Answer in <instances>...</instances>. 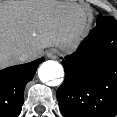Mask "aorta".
<instances>
[{
  "mask_svg": "<svg viewBox=\"0 0 117 117\" xmlns=\"http://www.w3.org/2000/svg\"><path fill=\"white\" fill-rule=\"evenodd\" d=\"M64 76V69L60 63L53 60L43 62L38 69V77L46 83Z\"/></svg>",
  "mask_w": 117,
  "mask_h": 117,
  "instance_id": "aorta-1",
  "label": "aorta"
}]
</instances>
